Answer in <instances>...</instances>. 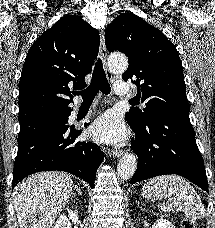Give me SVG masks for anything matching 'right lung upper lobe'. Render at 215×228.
Listing matches in <instances>:
<instances>
[{"label": "right lung upper lobe", "mask_w": 215, "mask_h": 228, "mask_svg": "<svg viewBox=\"0 0 215 228\" xmlns=\"http://www.w3.org/2000/svg\"><path fill=\"white\" fill-rule=\"evenodd\" d=\"M99 51L98 30L81 17L67 15L33 43L19 82V122L66 114L70 86L82 89Z\"/></svg>", "instance_id": "cb5924a9"}]
</instances>
